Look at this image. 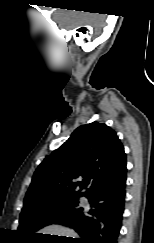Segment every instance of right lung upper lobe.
Segmentation results:
<instances>
[{
    "instance_id": "1",
    "label": "right lung upper lobe",
    "mask_w": 154,
    "mask_h": 243,
    "mask_svg": "<svg viewBox=\"0 0 154 243\" xmlns=\"http://www.w3.org/2000/svg\"><path fill=\"white\" fill-rule=\"evenodd\" d=\"M124 166V148L114 130L98 122L82 125L38 166L24 207L64 195L85 196ZM79 177L84 179L76 181Z\"/></svg>"
}]
</instances>
